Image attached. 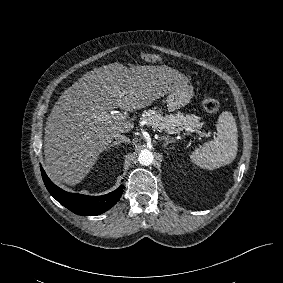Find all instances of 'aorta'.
Here are the masks:
<instances>
[{
	"label": "aorta",
	"instance_id": "aorta-1",
	"mask_svg": "<svg viewBox=\"0 0 283 283\" xmlns=\"http://www.w3.org/2000/svg\"><path fill=\"white\" fill-rule=\"evenodd\" d=\"M153 153L148 149H143L138 156V161L142 165H150L153 162Z\"/></svg>",
	"mask_w": 283,
	"mask_h": 283
}]
</instances>
